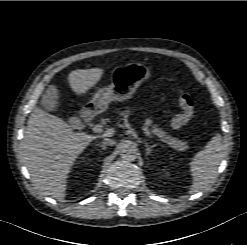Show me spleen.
<instances>
[{
  "mask_svg": "<svg viewBox=\"0 0 247 245\" xmlns=\"http://www.w3.org/2000/svg\"><path fill=\"white\" fill-rule=\"evenodd\" d=\"M222 149V137L217 133L191 160L190 172L193 179L191 194L207 187L215 178L222 160Z\"/></svg>",
  "mask_w": 247,
  "mask_h": 245,
  "instance_id": "3e777b00",
  "label": "spleen"
}]
</instances>
